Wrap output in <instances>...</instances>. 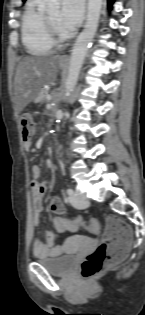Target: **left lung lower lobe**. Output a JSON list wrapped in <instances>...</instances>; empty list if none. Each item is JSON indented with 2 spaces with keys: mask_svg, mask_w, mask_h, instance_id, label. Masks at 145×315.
Wrapping results in <instances>:
<instances>
[{
  "mask_svg": "<svg viewBox=\"0 0 145 315\" xmlns=\"http://www.w3.org/2000/svg\"><path fill=\"white\" fill-rule=\"evenodd\" d=\"M114 2V0H108V4L111 7L112 3Z\"/></svg>",
  "mask_w": 145,
  "mask_h": 315,
  "instance_id": "0a47b994",
  "label": "left lung lower lobe"
}]
</instances>
